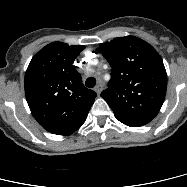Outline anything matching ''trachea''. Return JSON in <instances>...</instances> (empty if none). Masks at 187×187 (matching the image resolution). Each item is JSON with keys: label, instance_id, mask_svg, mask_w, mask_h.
I'll return each mask as SVG.
<instances>
[{"label": "trachea", "instance_id": "obj_1", "mask_svg": "<svg viewBox=\"0 0 187 187\" xmlns=\"http://www.w3.org/2000/svg\"><path fill=\"white\" fill-rule=\"evenodd\" d=\"M85 85L88 88H93L96 85V79L94 77L87 78Z\"/></svg>", "mask_w": 187, "mask_h": 187}]
</instances>
